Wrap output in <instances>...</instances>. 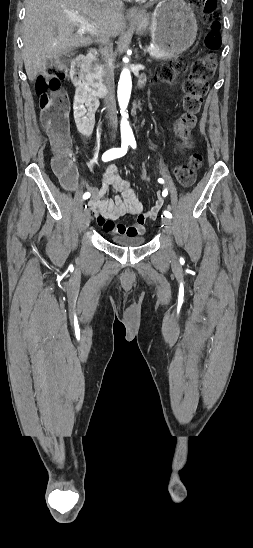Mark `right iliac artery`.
<instances>
[{
    "instance_id": "82829eb1",
    "label": "right iliac artery",
    "mask_w": 253,
    "mask_h": 548,
    "mask_svg": "<svg viewBox=\"0 0 253 548\" xmlns=\"http://www.w3.org/2000/svg\"><path fill=\"white\" fill-rule=\"evenodd\" d=\"M128 146H129V142L128 141H123L120 148H112V149L107 150L102 155V160L104 162H107V161H110V160H113V159L124 156L127 153ZM89 197H90L89 192H86L83 195V199H88ZM85 208H86V206H85Z\"/></svg>"
}]
</instances>
